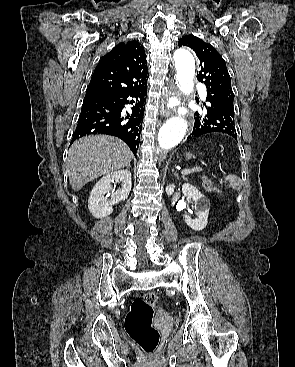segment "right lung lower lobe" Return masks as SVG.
I'll use <instances>...</instances> for the list:
<instances>
[{"mask_svg": "<svg viewBox=\"0 0 295 367\" xmlns=\"http://www.w3.org/2000/svg\"><path fill=\"white\" fill-rule=\"evenodd\" d=\"M146 95L147 86L117 93H86L72 142L90 134L113 135L122 139L136 155ZM129 104H135L132 112L124 111Z\"/></svg>", "mask_w": 295, "mask_h": 367, "instance_id": "right-lung-lower-lobe-1", "label": "right lung lower lobe"}]
</instances>
